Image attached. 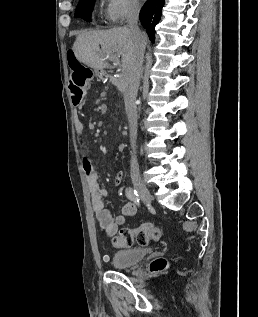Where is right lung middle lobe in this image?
<instances>
[{
	"label": "right lung middle lobe",
	"mask_w": 258,
	"mask_h": 317,
	"mask_svg": "<svg viewBox=\"0 0 258 317\" xmlns=\"http://www.w3.org/2000/svg\"><path fill=\"white\" fill-rule=\"evenodd\" d=\"M93 1L94 0H81L77 6L75 16L90 21V13L92 10Z\"/></svg>",
	"instance_id": "1"
}]
</instances>
